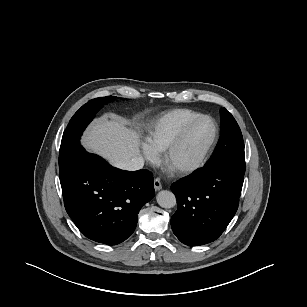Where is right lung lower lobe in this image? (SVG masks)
Instances as JSON below:
<instances>
[{"label": "right lung lower lobe", "instance_id": "98d812e1", "mask_svg": "<svg viewBox=\"0 0 307 307\" xmlns=\"http://www.w3.org/2000/svg\"><path fill=\"white\" fill-rule=\"evenodd\" d=\"M65 209L89 239L116 245L134 232L140 209L154 196L148 170L123 172L81 147L60 168Z\"/></svg>", "mask_w": 307, "mask_h": 307}]
</instances>
